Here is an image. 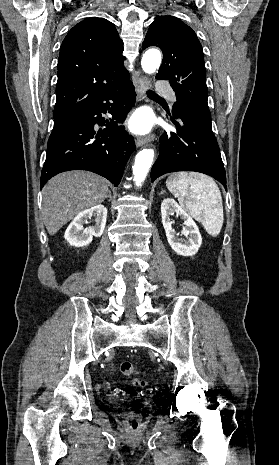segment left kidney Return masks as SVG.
<instances>
[{
	"label": "left kidney",
	"instance_id": "obj_1",
	"mask_svg": "<svg viewBox=\"0 0 279 465\" xmlns=\"http://www.w3.org/2000/svg\"><path fill=\"white\" fill-rule=\"evenodd\" d=\"M176 214L184 220L182 234L186 239L176 237L172 229L170 215ZM162 224L171 248L181 256H193L202 244L199 229L191 216L172 198H166L161 204Z\"/></svg>",
	"mask_w": 279,
	"mask_h": 465
}]
</instances>
